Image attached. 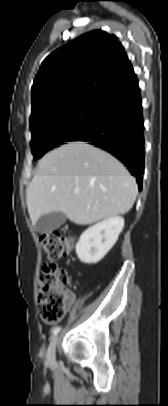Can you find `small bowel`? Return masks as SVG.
<instances>
[{"label": "small bowel", "instance_id": "c3829d8e", "mask_svg": "<svg viewBox=\"0 0 168 406\" xmlns=\"http://www.w3.org/2000/svg\"><path fill=\"white\" fill-rule=\"evenodd\" d=\"M75 301V295L71 290L65 291V308H70Z\"/></svg>", "mask_w": 168, "mask_h": 406}]
</instances>
